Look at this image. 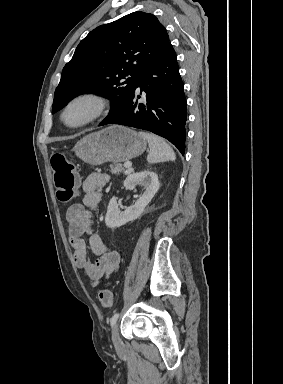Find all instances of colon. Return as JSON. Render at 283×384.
<instances>
[{
    "mask_svg": "<svg viewBox=\"0 0 283 384\" xmlns=\"http://www.w3.org/2000/svg\"><path fill=\"white\" fill-rule=\"evenodd\" d=\"M51 167L54 175L57 198L63 202H69L77 188L76 171L66 155L61 152L54 153L51 157ZM98 299L103 307H110L113 303L112 293L108 289H101Z\"/></svg>",
    "mask_w": 283,
    "mask_h": 384,
    "instance_id": "obj_1",
    "label": "colon"
}]
</instances>
